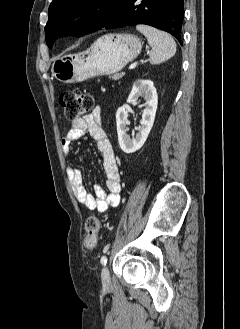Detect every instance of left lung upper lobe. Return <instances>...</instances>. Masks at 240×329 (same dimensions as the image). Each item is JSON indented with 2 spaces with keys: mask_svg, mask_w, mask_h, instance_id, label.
I'll list each match as a JSON object with an SVG mask.
<instances>
[{
  "mask_svg": "<svg viewBox=\"0 0 240 329\" xmlns=\"http://www.w3.org/2000/svg\"><path fill=\"white\" fill-rule=\"evenodd\" d=\"M125 0H53L45 26V39L52 48L56 39L73 35L80 37L103 28ZM83 16L78 22L70 19Z\"/></svg>",
  "mask_w": 240,
  "mask_h": 329,
  "instance_id": "obj_1",
  "label": "left lung upper lobe"
}]
</instances>
